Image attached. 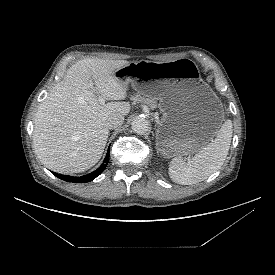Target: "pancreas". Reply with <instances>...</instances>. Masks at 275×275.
<instances>
[{"instance_id":"obj_1","label":"pancreas","mask_w":275,"mask_h":275,"mask_svg":"<svg viewBox=\"0 0 275 275\" xmlns=\"http://www.w3.org/2000/svg\"><path fill=\"white\" fill-rule=\"evenodd\" d=\"M132 100L134 101V103H146L147 105H149L152 109L157 107V103L154 99H150V98H144L141 95L137 94L135 96L132 97Z\"/></svg>"}]
</instances>
